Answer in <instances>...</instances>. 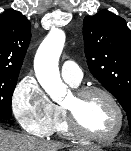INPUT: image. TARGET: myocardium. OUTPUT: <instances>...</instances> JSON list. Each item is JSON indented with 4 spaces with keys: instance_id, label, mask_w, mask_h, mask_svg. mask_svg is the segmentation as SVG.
Returning <instances> with one entry per match:
<instances>
[{
    "instance_id": "myocardium-1",
    "label": "myocardium",
    "mask_w": 131,
    "mask_h": 151,
    "mask_svg": "<svg viewBox=\"0 0 131 151\" xmlns=\"http://www.w3.org/2000/svg\"><path fill=\"white\" fill-rule=\"evenodd\" d=\"M92 95H102L106 99H108L110 103L113 105L118 116V125L115 131L109 136H97L91 134L82 127L76 107L63 105L62 108L66 116L68 128L71 134L79 139L89 140L99 143L112 142L118 138V136L121 134L124 128L125 115H124L123 108L120 102L118 101V99L110 91L102 87H97V86L81 87L75 89L72 94L76 105L82 104L88 97Z\"/></svg>"
}]
</instances>
